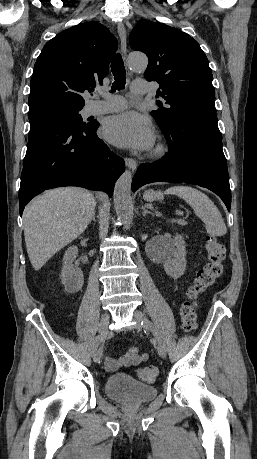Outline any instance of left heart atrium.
I'll return each instance as SVG.
<instances>
[{
	"label": "left heart atrium",
	"mask_w": 257,
	"mask_h": 459,
	"mask_svg": "<svg viewBox=\"0 0 257 459\" xmlns=\"http://www.w3.org/2000/svg\"><path fill=\"white\" fill-rule=\"evenodd\" d=\"M106 139L120 147L147 150L155 140L150 120L136 112H124L107 120L104 126Z\"/></svg>",
	"instance_id": "obj_1"
}]
</instances>
